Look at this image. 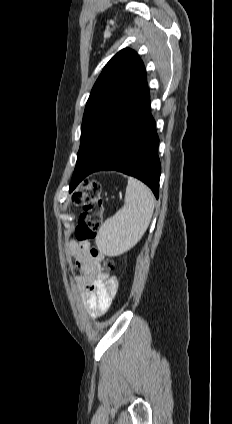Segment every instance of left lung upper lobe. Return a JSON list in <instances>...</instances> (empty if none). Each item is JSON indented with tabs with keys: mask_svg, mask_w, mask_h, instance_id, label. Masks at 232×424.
I'll list each match as a JSON object with an SVG mask.
<instances>
[{
	"mask_svg": "<svg viewBox=\"0 0 232 424\" xmlns=\"http://www.w3.org/2000/svg\"><path fill=\"white\" fill-rule=\"evenodd\" d=\"M145 82L143 62L131 49L121 50L106 64L86 104L74 174L82 171L95 140Z\"/></svg>",
	"mask_w": 232,
	"mask_h": 424,
	"instance_id": "left-lung-upper-lobe-1",
	"label": "left lung upper lobe"
}]
</instances>
